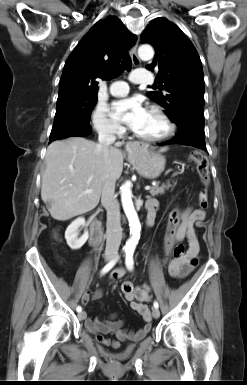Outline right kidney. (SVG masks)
Wrapping results in <instances>:
<instances>
[{
	"instance_id": "ca27d5eb",
	"label": "right kidney",
	"mask_w": 247,
	"mask_h": 385,
	"mask_svg": "<svg viewBox=\"0 0 247 385\" xmlns=\"http://www.w3.org/2000/svg\"><path fill=\"white\" fill-rule=\"evenodd\" d=\"M85 225V219L83 217H79L67 227L65 231V239L68 246L72 250L80 249L87 241L89 237L87 231L80 238H78L79 228L84 227Z\"/></svg>"
}]
</instances>
